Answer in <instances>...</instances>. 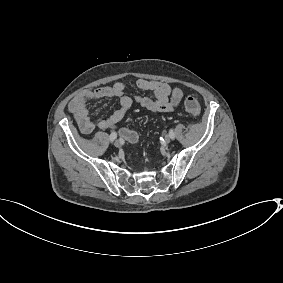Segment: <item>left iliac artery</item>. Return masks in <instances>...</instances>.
I'll use <instances>...</instances> for the list:
<instances>
[{
	"instance_id": "obj_1",
	"label": "left iliac artery",
	"mask_w": 283,
	"mask_h": 283,
	"mask_svg": "<svg viewBox=\"0 0 283 283\" xmlns=\"http://www.w3.org/2000/svg\"><path fill=\"white\" fill-rule=\"evenodd\" d=\"M169 135H170V138H171L172 140H174L175 135H174L173 130H170V131H169Z\"/></svg>"
}]
</instances>
